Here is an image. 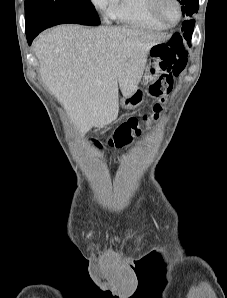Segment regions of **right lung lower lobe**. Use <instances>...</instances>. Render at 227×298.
<instances>
[{
	"mask_svg": "<svg viewBox=\"0 0 227 298\" xmlns=\"http://www.w3.org/2000/svg\"><path fill=\"white\" fill-rule=\"evenodd\" d=\"M39 32H41V31L37 30V31L26 34L27 41H28L29 45H31L32 40L38 35Z\"/></svg>",
	"mask_w": 227,
	"mask_h": 298,
	"instance_id": "98d812e1",
	"label": "right lung lower lobe"
}]
</instances>
